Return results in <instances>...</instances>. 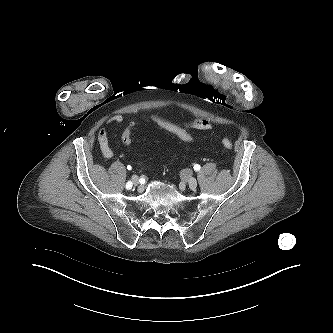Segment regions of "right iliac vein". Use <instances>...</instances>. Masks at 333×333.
Listing matches in <instances>:
<instances>
[{
	"instance_id": "63e3f726",
	"label": "right iliac vein",
	"mask_w": 333,
	"mask_h": 333,
	"mask_svg": "<svg viewBox=\"0 0 333 333\" xmlns=\"http://www.w3.org/2000/svg\"><path fill=\"white\" fill-rule=\"evenodd\" d=\"M132 182L135 186L139 185V178L137 176H133L132 177Z\"/></svg>"
}]
</instances>
